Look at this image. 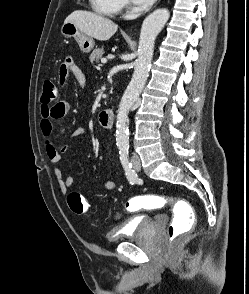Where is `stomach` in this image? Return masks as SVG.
<instances>
[{"instance_id":"obj_1","label":"stomach","mask_w":249,"mask_h":294,"mask_svg":"<svg viewBox=\"0 0 249 294\" xmlns=\"http://www.w3.org/2000/svg\"><path fill=\"white\" fill-rule=\"evenodd\" d=\"M61 34L66 38L73 37L83 53H89L94 47L93 38L81 32L74 23L64 22L61 27Z\"/></svg>"}]
</instances>
